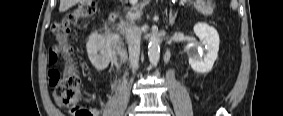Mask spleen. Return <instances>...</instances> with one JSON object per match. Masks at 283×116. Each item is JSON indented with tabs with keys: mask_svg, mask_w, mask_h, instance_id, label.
<instances>
[{
	"mask_svg": "<svg viewBox=\"0 0 283 116\" xmlns=\"http://www.w3.org/2000/svg\"><path fill=\"white\" fill-rule=\"evenodd\" d=\"M237 6H238V3H237V1L236 0H232V2H231V7H232V9H236L237 8Z\"/></svg>",
	"mask_w": 283,
	"mask_h": 116,
	"instance_id": "3e777b00",
	"label": "spleen"
}]
</instances>
